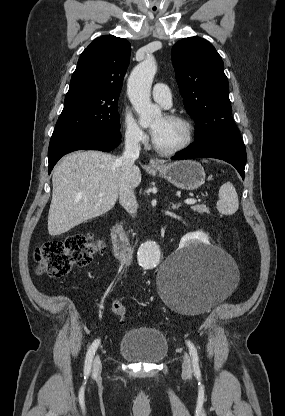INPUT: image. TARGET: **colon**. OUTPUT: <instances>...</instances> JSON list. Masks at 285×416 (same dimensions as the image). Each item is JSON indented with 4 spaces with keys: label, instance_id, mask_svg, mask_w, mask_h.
Masks as SVG:
<instances>
[{
    "label": "colon",
    "instance_id": "obj_1",
    "mask_svg": "<svg viewBox=\"0 0 285 416\" xmlns=\"http://www.w3.org/2000/svg\"><path fill=\"white\" fill-rule=\"evenodd\" d=\"M101 248V242L88 234H76L62 241L45 242L34 251L38 273L53 278L62 277L73 267L88 265ZM111 311L120 320L124 319L125 307L121 301H113Z\"/></svg>",
    "mask_w": 285,
    "mask_h": 416
}]
</instances>
